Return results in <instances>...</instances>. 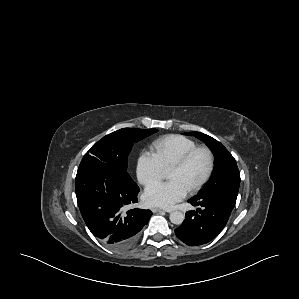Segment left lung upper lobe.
<instances>
[{
    "instance_id": "1",
    "label": "left lung upper lobe",
    "mask_w": 299,
    "mask_h": 299,
    "mask_svg": "<svg viewBox=\"0 0 299 299\" xmlns=\"http://www.w3.org/2000/svg\"><path fill=\"white\" fill-rule=\"evenodd\" d=\"M184 134L196 136L204 141L215 156V168L212 178L204 190L196 197L220 194L236 202L240 185V173L234 157L219 141L206 134L200 132Z\"/></svg>"
}]
</instances>
